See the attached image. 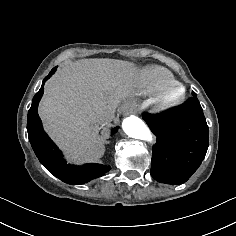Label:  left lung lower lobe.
<instances>
[{"instance_id":"1","label":"left lung lower lobe","mask_w":236,"mask_h":236,"mask_svg":"<svg viewBox=\"0 0 236 236\" xmlns=\"http://www.w3.org/2000/svg\"><path fill=\"white\" fill-rule=\"evenodd\" d=\"M183 105L161 113L143 114L156 135L151 175L161 183L186 182L202 163L209 145V131L202 107L193 92Z\"/></svg>"}]
</instances>
